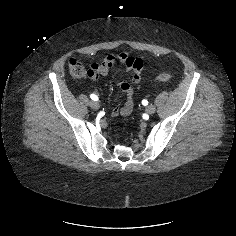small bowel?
<instances>
[{"label":"small bowel","mask_w":236,"mask_h":236,"mask_svg":"<svg viewBox=\"0 0 236 236\" xmlns=\"http://www.w3.org/2000/svg\"><path fill=\"white\" fill-rule=\"evenodd\" d=\"M117 62L123 64L130 75L127 80H121L118 82L119 89L125 95L126 101L124 105L113 108L111 116H129L134 108V86L139 84L143 78V60L140 57L132 56L127 52H122L117 56L109 54L102 62H94L90 64L89 77L92 80H100L112 67L115 66Z\"/></svg>","instance_id":"small-bowel-1"}]
</instances>
